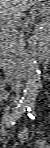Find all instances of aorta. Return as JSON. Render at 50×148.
<instances>
[{
  "instance_id": "obj_1",
  "label": "aorta",
  "mask_w": 50,
  "mask_h": 148,
  "mask_svg": "<svg viewBox=\"0 0 50 148\" xmlns=\"http://www.w3.org/2000/svg\"><path fill=\"white\" fill-rule=\"evenodd\" d=\"M39 82L40 70L37 63L35 61H32L29 65L24 95L22 97L23 104H30L36 100Z\"/></svg>"
}]
</instances>
